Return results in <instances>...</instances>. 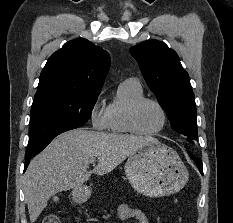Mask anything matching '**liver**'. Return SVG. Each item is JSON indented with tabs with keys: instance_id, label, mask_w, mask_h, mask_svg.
Here are the masks:
<instances>
[{
	"instance_id": "6515ba94",
	"label": "liver",
	"mask_w": 233,
	"mask_h": 223,
	"mask_svg": "<svg viewBox=\"0 0 233 223\" xmlns=\"http://www.w3.org/2000/svg\"><path fill=\"white\" fill-rule=\"evenodd\" d=\"M88 129L78 127L57 135L31 159L23 179L30 223L38 219L48 199L58 191L84 185L92 173H110L146 143H158L156 137ZM93 159L97 165L88 171Z\"/></svg>"
}]
</instances>
